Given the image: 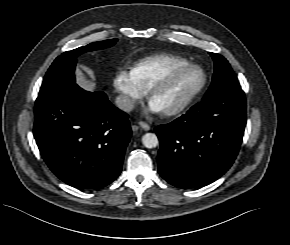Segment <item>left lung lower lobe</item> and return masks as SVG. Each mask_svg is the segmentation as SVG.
Returning <instances> with one entry per match:
<instances>
[{"label":"left lung lower lobe","mask_w":290,"mask_h":245,"mask_svg":"<svg viewBox=\"0 0 290 245\" xmlns=\"http://www.w3.org/2000/svg\"><path fill=\"white\" fill-rule=\"evenodd\" d=\"M245 125L243 90H225L204 98L185 115L155 128L160 175L184 189L214 182L233 164Z\"/></svg>","instance_id":"left-lung-lower-lobe-1"}]
</instances>
